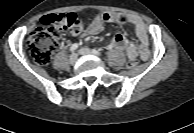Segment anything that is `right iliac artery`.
I'll list each match as a JSON object with an SVG mask.
<instances>
[{
	"label": "right iliac artery",
	"instance_id": "right-iliac-artery-1",
	"mask_svg": "<svg viewBox=\"0 0 194 133\" xmlns=\"http://www.w3.org/2000/svg\"><path fill=\"white\" fill-rule=\"evenodd\" d=\"M77 48H78V44L75 43V44H73V45L70 47V51H71V52H74L75 50H77Z\"/></svg>",
	"mask_w": 194,
	"mask_h": 133
}]
</instances>
